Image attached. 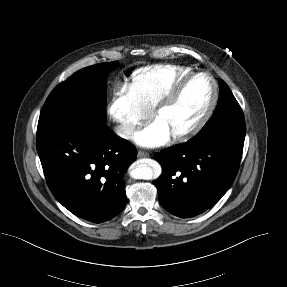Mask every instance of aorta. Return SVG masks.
Segmentation results:
<instances>
[{
    "label": "aorta",
    "instance_id": "obj_1",
    "mask_svg": "<svg viewBox=\"0 0 287 287\" xmlns=\"http://www.w3.org/2000/svg\"><path fill=\"white\" fill-rule=\"evenodd\" d=\"M161 174V166L158 163L142 164L131 171L134 179L151 180Z\"/></svg>",
    "mask_w": 287,
    "mask_h": 287
}]
</instances>
